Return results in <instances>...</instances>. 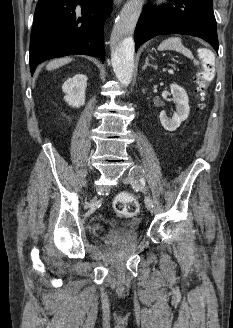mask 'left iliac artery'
<instances>
[{
    "label": "left iliac artery",
    "instance_id": "left-iliac-artery-1",
    "mask_svg": "<svg viewBox=\"0 0 233 328\" xmlns=\"http://www.w3.org/2000/svg\"><path fill=\"white\" fill-rule=\"evenodd\" d=\"M139 181H140V182L136 183V184L134 185V187L137 188V189H139V190H141V191H143V192H145L146 189H145V180H144V178H140ZM145 203H146L147 205H150V206L153 207V201H152V199L150 198V196H146V198H145Z\"/></svg>",
    "mask_w": 233,
    "mask_h": 328
}]
</instances>
